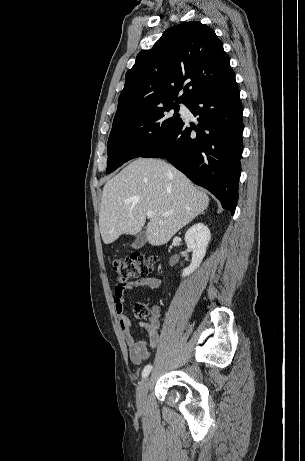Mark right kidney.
Returning a JSON list of instances; mask_svg holds the SVG:
<instances>
[{
  "mask_svg": "<svg viewBox=\"0 0 305 461\" xmlns=\"http://www.w3.org/2000/svg\"><path fill=\"white\" fill-rule=\"evenodd\" d=\"M187 248L192 251V262L189 267L183 270V277L189 276L201 264L206 248L211 239L209 228L203 223L194 224L185 234Z\"/></svg>",
  "mask_w": 305,
  "mask_h": 461,
  "instance_id": "obj_1",
  "label": "right kidney"
}]
</instances>
